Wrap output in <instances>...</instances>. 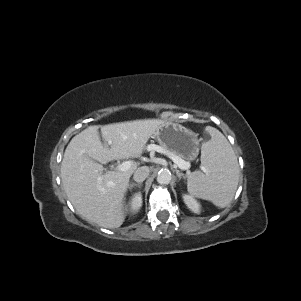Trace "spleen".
<instances>
[{
	"label": "spleen",
	"mask_w": 301,
	"mask_h": 301,
	"mask_svg": "<svg viewBox=\"0 0 301 301\" xmlns=\"http://www.w3.org/2000/svg\"><path fill=\"white\" fill-rule=\"evenodd\" d=\"M206 130L211 139L202 144L201 165L204 173L193 172L188 178L187 189L192 196L224 208L235 195L239 181V165L224 135L213 127H207Z\"/></svg>",
	"instance_id": "1"
}]
</instances>
